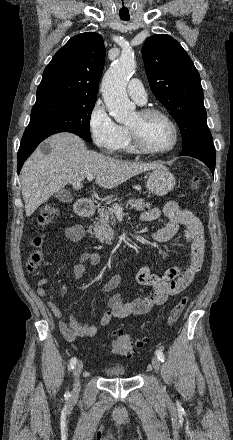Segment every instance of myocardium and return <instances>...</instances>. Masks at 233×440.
Segmentation results:
<instances>
[{
  "mask_svg": "<svg viewBox=\"0 0 233 440\" xmlns=\"http://www.w3.org/2000/svg\"><path fill=\"white\" fill-rule=\"evenodd\" d=\"M138 114L143 118H147L151 116H160L164 118L172 128L173 141L171 145L165 149L152 150L144 144L139 132L127 126V131L130 136L132 146L137 153L150 155V156H158V155L167 154L176 148L179 141V130L176 123L168 113L158 108H144L139 110Z\"/></svg>",
  "mask_w": 233,
  "mask_h": 440,
  "instance_id": "myocardium-1",
  "label": "myocardium"
}]
</instances>
